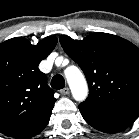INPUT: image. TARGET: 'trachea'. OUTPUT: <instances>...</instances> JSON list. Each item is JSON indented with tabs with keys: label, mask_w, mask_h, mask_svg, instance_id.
I'll return each mask as SVG.
<instances>
[{
	"label": "trachea",
	"mask_w": 139,
	"mask_h": 139,
	"mask_svg": "<svg viewBox=\"0 0 139 139\" xmlns=\"http://www.w3.org/2000/svg\"><path fill=\"white\" fill-rule=\"evenodd\" d=\"M51 86L54 89H63L65 87V80L61 75H55L51 80Z\"/></svg>",
	"instance_id": "obj_1"
}]
</instances>
